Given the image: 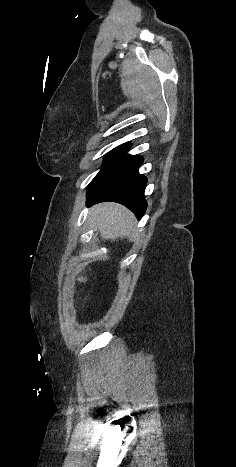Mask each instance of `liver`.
I'll return each mask as SVG.
<instances>
[{
    "label": "liver",
    "instance_id": "obj_1",
    "mask_svg": "<svg viewBox=\"0 0 236 467\" xmlns=\"http://www.w3.org/2000/svg\"><path fill=\"white\" fill-rule=\"evenodd\" d=\"M90 219L98 227L104 239L124 237L131 233L135 226V217L126 207L106 202L95 205L90 212ZM78 281L86 282L87 278L80 276Z\"/></svg>",
    "mask_w": 236,
    "mask_h": 467
}]
</instances>
